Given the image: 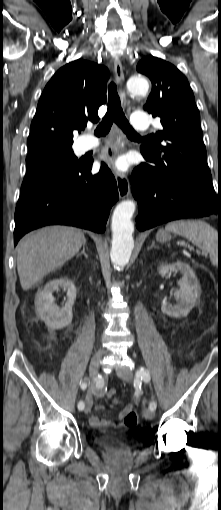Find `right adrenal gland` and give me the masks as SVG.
<instances>
[{"label": "right adrenal gland", "instance_id": "obj_1", "mask_svg": "<svg viewBox=\"0 0 221 510\" xmlns=\"http://www.w3.org/2000/svg\"><path fill=\"white\" fill-rule=\"evenodd\" d=\"M85 246H86V243L83 244V249L80 253L77 254V257L84 255L86 258H88V255L85 252Z\"/></svg>", "mask_w": 221, "mask_h": 510}]
</instances>
